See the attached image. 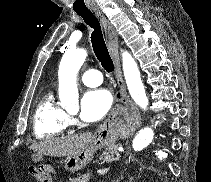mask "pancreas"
<instances>
[{
	"label": "pancreas",
	"instance_id": "obj_1",
	"mask_svg": "<svg viewBox=\"0 0 211 182\" xmlns=\"http://www.w3.org/2000/svg\"><path fill=\"white\" fill-rule=\"evenodd\" d=\"M120 159V153L118 151V145H113L109 148H107L105 151L99 155L98 160L100 163H110L112 161H117ZM99 163V162H98Z\"/></svg>",
	"mask_w": 211,
	"mask_h": 182
}]
</instances>
